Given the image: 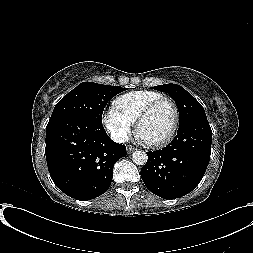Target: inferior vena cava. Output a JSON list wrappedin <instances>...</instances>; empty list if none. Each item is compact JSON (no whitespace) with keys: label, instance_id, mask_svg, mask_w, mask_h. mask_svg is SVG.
I'll return each mask as SVG.
<instances>
[{"label":"inferior vena cava","instance_id":"inferior-vena-cava-1","mask_svg":"<svg viewBox=\"0 0 253 253\" xmlns=\"http://www.w3.org/2000/svg\"><path fill=\"white\" fill-rule=\"evenodd\" d=\"M114 141L118 142V143H124L128 141V136H123V135H116L113 138Z\"/></svg>","mask_w":253,"mask_h":253}]
</instances>
